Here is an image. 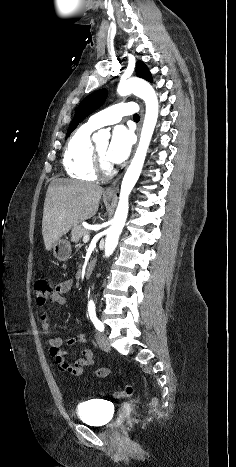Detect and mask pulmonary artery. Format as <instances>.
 <instances>
[{
  "label": "pulmonary artery",
  "mask_w": 236,
  "mask_h": 467,
  "mask_svg": "<svg viewBox=\"0 0 236 467\" xmlns=\"http://www.w3.org/2000/svg\"><path fill=\"white\" fill-rule=\"evenodd\" d=\"M136 113V107L132 103H119L92 115L86 123L93 129L119 122L123 116Z\"/></svg>",
  "instance_id": "obj_1"
}]
</instances>
